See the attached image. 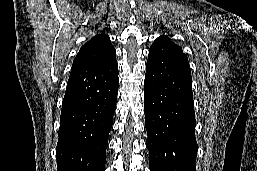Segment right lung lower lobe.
<instances>
[{
	"mask_svg": "<svg viewBox=\"0 0 257 171\" xmlns=\"http://www.w3.org/2000/svg\"><path fill=\"white\" fill-rule=\"evenodd\" d=\"M117 94L116 58L71 69L60 116L57 171H104Z\"/></svg>",
	"mask_w": 257,
	"mask_h": 171,
	"instance_id": "obj_1",
	"label": "right lung lower lobe"
}]
</instances>
